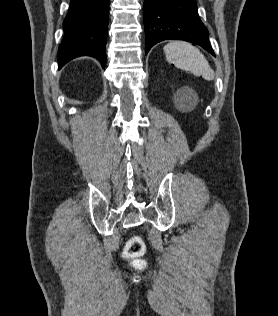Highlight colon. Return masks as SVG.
Wrapping results in <instances>:
<instances>
[{"label": "colon", "instance_id": "5ec220e1", "mask_svg": "<svg viewBox=\"0 0 278 316\" xmlns=\"http://www.w3.org/2000/svg\"><path fill=\"white\" fill-rule=\"evenodd\" d=\"M144 253L145 245L140 237H133L127 242L124 254L127 258L133 259L137 265H142L140 258Z\"/></svg>", "mask_w": 278, "mask_h": 316}]
</instances>
